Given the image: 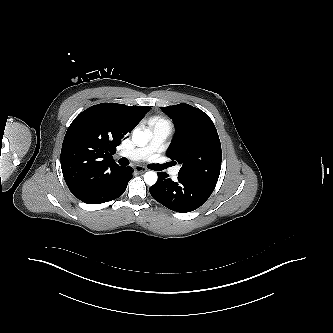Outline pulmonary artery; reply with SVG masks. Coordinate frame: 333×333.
Returning <instances> with one entry per match:
<instances>
[{
  "label": "pulmonary artery",
  "instance_id": "e3ab8cb5",
  "mask_svg": "<svg viewBox=\"0 0 333 333\" xmlns=\"http://www.w3.org/2000/svg\"><path fill=\"white\" fill-rule=\"evenodd\" d=\"M150 129V141L145 147L122 151L119 153L120 156L129 160L139 161L161 150L165 140L172 131L170 123L167 121L159 122L153 124ZM179 170V167H175L171 170V174L176 176L178 175Z\"/></svg>",
  "mask_w": 333,
  "mask_h": 333
}]
</instances>
